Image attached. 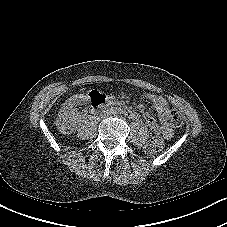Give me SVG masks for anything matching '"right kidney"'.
<instances>
[{"label":"right kidney","instance_id":"ca27d5eb","mask_svg":"<svg viewBox=\"0 0 227 227\" xmlns=\"http://www.w3.org/2000/svg\"><path fill=\"white\" fill-rule=\"evenodd\" d=\"M83 95H74L69 98L62 106L59 114L57 124L64 131L67 128H74L76 125L75 109L74 107L79 103L80 100H83Z\"/></svg>","mask_w":227,"mask_h":227}]
</instances>
